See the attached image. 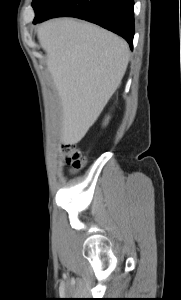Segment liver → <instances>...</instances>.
Wrapping results in <instances>:
<instances>
[{"label":"liver","instance_id":"liver-1","mask_svg":"<svg viewBox=\"0 0 181 300\" xmlns=\"http://www.w3.org/2000/svg\"><path fill=\"white\" fill-rule=\"evenodd\" d=\"M37 35L61 99V140L74 145L121 83L129 62L128 44L112 32L73 19L46 22Z\"/></svg>","mask_w":181,"mask_h":300}]
</instances>
